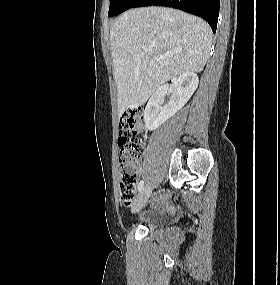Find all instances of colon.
<instances>
[{
    "mask_svg": "<svg viewBox=\"0 0 280 285\" xmlns=\"http://www.w3.org/2000/svg\"><path fill=\"white\" fill-rule=\"evenodd\" d=\"M145 120L143 113L131 110L120 118L119 122V194L124 205H130L135 199L137 175L134 164L143 155V136Z\"/></svg>",
    "mask_w": 280,
    "mask_h": 285,
    "instance_id": "obj_1",
    "label": "colon"
}]
</instances>
